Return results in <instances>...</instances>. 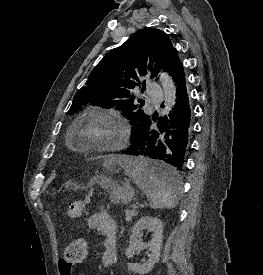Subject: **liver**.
Segmentation results:
<instances>
[{"instance_id":"6515ba94","label":"liver","mask_w":263,"mask_h":275,"mask_svg":"<svg viewBox=\"0 0 263 275\" xmlns=\"http://www.w3.org/2000/svg\"><path fill=\"white\" fill-rule=\"evenodd\" d=\"M124 157L121 156H110L109 158H107L106 163H114V162H119L121 163L123 161Z\"/></svg>"}]
</instances>
